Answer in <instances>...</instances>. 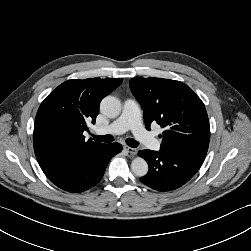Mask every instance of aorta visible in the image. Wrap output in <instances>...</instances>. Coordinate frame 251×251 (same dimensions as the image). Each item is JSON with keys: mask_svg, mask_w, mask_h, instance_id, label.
Wrapping results in <instances>:
<instances>
[{"mask_svg": "<svg viewBox=\"0 0 251 251\" xmlns=\"http://www.w3.org/2000/svg\"><path fill=\"white\" fill-rule=\"evenodd\" d=\"M100 111L109 118H115L121 112V103L116 97L107 96L100 103ZM131 170L138 177L145 176L148 172V164L143 158L136 157L131 162Z\"/></svg>", "mask_w": 251, "mask_h": 251, "instance_id": "aorta-1", "label": "aorta"}]
</instances>
